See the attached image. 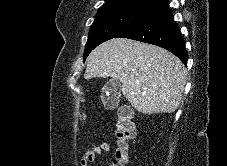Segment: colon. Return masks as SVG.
Instances as JSON below:
<instances>
[{
    "label": "colon",
    "mask_w": 227,
    "mask_h": 166,
    "mask_svg": "<svg viewBox=\"0 0 227 166\" xmlns=\"http://www.w3.org/2000/svg\"><path fill=\"white\" fill-rule=\"evenodd\" d=\"M117 150L112 166H126L130 159L131 141L134 137V121L132 108L121 105L115 119Z\"/></svg>",
    "instance_id": "obj_1"
}]
</instances>
